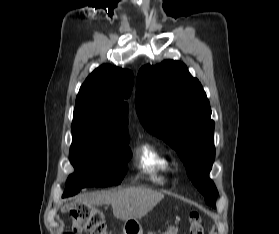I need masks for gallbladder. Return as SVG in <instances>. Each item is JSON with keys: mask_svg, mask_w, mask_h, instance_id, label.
<instances>
[{"mask_svg": "<svg viewBox=\"0 0 279 234\" xmlns=\"http://www.w3.org/2000/svg\"><path fill=\"white\" fill-rule=\"evenodd\" d=\"M67 209H68V207H66V208H63V209H62V211L64 212V211H66Z\"/></svg>", "mask_w": 279, "mask_h": 234, "instance_id": "obj_1", "label": "gallbladder"}]
</instances>
